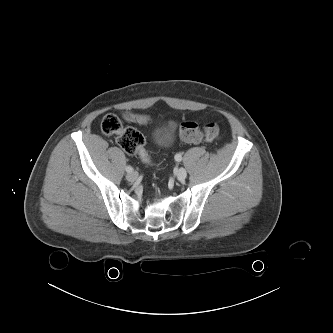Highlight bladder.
<instances>
[{
    "mask_svg": "<svg viewBox=\"0 0 333 333\" xmlns=\"http://www.w3.org/2000/svg\"><path fill=\"white\" fill-rule=\"evenodd\" d=\"M173 132L171 129L162 127L158 128L154 135H153V140L156 145L161 146V147H167L169 146L172 141H173Z\"/></svg>",
    "mask_w": 333,
    "mask_h": 333,
    "instance_id": "obj_1",
    "label": "bladder"
}]
</instances>
